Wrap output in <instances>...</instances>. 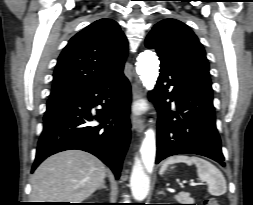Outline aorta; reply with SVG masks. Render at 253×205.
<instances>
[{
	"label": "aorta",
	"mask_w": 253,
	"mask_h": 205,
	"mask_svg": "<svg viewBox=\"0 0 253 205\" xmlns=\"http://www.w3.org/2000/svg\"><path fill=\"white\" fill-rule=\"evenodd\" d=\"M137 72L146 90L151 91L159 74V60L155 52L145 50L140 53L137 61ZM142 151L150 158L155 156V132L148 129L145 132ZM130 187L134 198L138 201L144 200L150 189V178L145 172L142 162L136 159L131 178Z\"/></svg>",
	"instance_id": "obj_1"
}]
</instances>
